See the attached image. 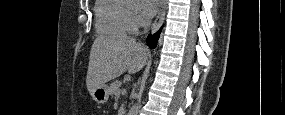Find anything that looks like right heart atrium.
<instances>
[{
  "label": "right heart atrium",
  "instance_id": "right-heart-atrium-1",
  "mask_svg": "<svg viewBox=\"0 0 285 115\" xmlns=\"http://www.w3.org/2000/svg\"><path fill=\"white\" fill-rule=\"evenodd\" d=\"M131 23H132V31H135L145 23V20L141 14L134 13L131 15Z\"/></svg>",
  "mask_w": 285,
  "mask_h": 115
}]
</instances>
